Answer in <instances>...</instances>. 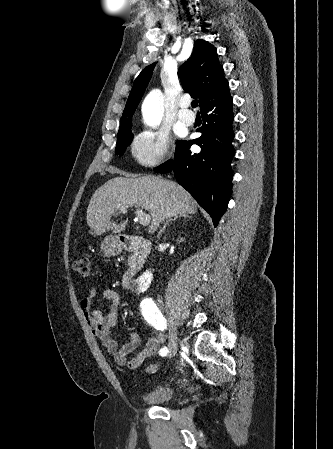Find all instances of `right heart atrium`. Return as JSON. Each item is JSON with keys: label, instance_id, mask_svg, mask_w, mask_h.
<instances>
[{"label": "right heart atrium", "instance_id": "d8ad5b80", "mask_svg": "<svg viewBox=\"0 0 333 449\" xmlns=\"http://www.w3.org/2000/svg\"><path fill=\"white\" fill-rule=\"evenodd\" d=\"M170 150L168 135L158 131L137 134L131 144L134 159L143 166H155L164 162Z\"/></svg>", "mask_w": 333, "mask_h": 449}]
</instances>
